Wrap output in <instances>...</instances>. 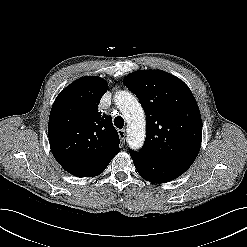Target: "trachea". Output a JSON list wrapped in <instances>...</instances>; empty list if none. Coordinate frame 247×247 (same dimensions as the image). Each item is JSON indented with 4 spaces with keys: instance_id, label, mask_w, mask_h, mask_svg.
I'll return each instance as SVG.
<instances>
[{
    "instance_id": "1",
    "label": "trachea",
    "mask_w": 247,
    "mask_h": 247,
    "mask_svg": "<svg viewBox=\"0 0 247 247\" xmlns=\"http://www.w3.org/2000/svg\"><path fill=\"white\" fill-rule=\"evenodd\" d=\"M114 125L119 128V129H122L123 126H124V119L121 117V116H117L115 119H114Z\"/></svg>"
}]
</instances>
